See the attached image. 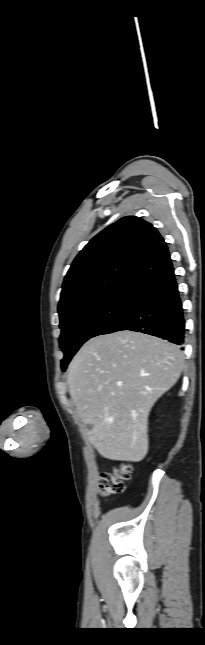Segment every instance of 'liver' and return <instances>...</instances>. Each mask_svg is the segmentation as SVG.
<instances>
[{"label":"liver","mask_w":205,"mask_h":645,"mask_svg":"<svg viewBox=\"0 0 205 645\" xmlns=\"http://www.w3.org/2000/svg\"><path fill=\"white\" fill-rule=\"evenodd\" d=\"M184 355L166 340L119 331L88 340L67 381L89 442L105 458L139 462L148 452V416L178 381Z\"/></svg>","instance_id":"obj_1"}]
</instances>
